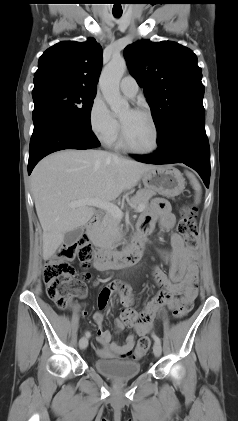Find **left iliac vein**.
<instances>
[{"instance_id":"4c4485c4","label":"left iliac vein","mask_w":238,"mask_h":421,"mask_svg":"<svg viewBox=\"0 0 238 421\" xmlns=\"http://www.w3.org/2000/svg\"><path fill=\"white\" fill-rule=\"evenodd\" d=\"M162 352V347L161 344L159 342H155L153 345V353L156 357H159L161 355Z\"/></svg>"}]
</instances>
